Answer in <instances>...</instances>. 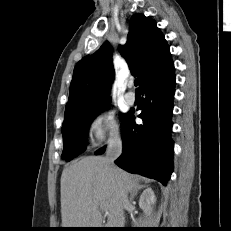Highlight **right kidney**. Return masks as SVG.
Segmentation results:
<instances>
[{
  "mask_svg": "<svg viewBox=\"0 0 231 231\" xmlns=\"http://www.w3.org/2000/svg\"><path fill=\"white\" fill-rule=\"evenodd\" d=\"M156 203V196L151 188L143 191L139 199L140 208L148 215L153 211V205Z\"/></svg>",
  "mask_w": 231,
  "mask_h": 231,
  "instance_id": "obj_1",
  "label": "right kidney"
}]
</instances>
